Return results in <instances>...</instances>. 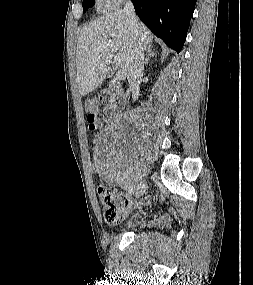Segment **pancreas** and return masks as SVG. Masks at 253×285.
Returning a JSON list of instances; mask_svg holds the SVG:
<instances>
[{
	"label": "pancreas",
	"mask_w": 253,
	"mask_h": 285,
	"mask_svg": "<svg viewBox=\"0 0 253 285\" xmlns=\"http://www.w3.org/2000/svg\"><path fill=\"white\" fill-rule=\"evenodd\" d=\"M116 94H121V92L119 91V89H116Z\"/></svg>",
	"instance_id": "obj_1"
}]
</instances>
